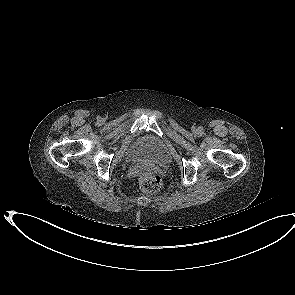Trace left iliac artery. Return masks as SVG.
I'll return each instance as SVG.
<instances>
[{
    "label": "left iliac artery",
    "mask_w": 295,
    "mask_h": 295,
    "mask_svg": "<svg viewBox=\"0 0 295 295\" xmlns=\"http://www.w3.org/2000/svg\"><path fill=\"white\" fill-rule=\"evenodd\" d=\"M200 133H203V128H200Z\"/></svg>",
    "instance_id": "44dca946"
}]
</instances>
